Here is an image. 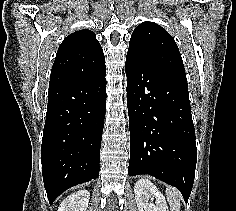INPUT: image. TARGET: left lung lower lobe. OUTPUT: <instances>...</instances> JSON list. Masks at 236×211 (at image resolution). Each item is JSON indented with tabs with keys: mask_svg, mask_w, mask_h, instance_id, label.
<instances>
[{
	"mask_svg": "<svg viewBox=\"0 0 236 211\" xmlns=\"http://www.w3.org/2000/svg\"><path fill=\"white\" fill-rule=\"evenodd\" d=\"M130 128L129 176L149 174L175 186L187 202L197 149L188 83L126 57Z\"/></svg>",
	"mask_w": 236,
	"mask_h": 211,
	"instance_id": "obj_1",
	"label": "left lung lower lobe"
}]
</instances>
